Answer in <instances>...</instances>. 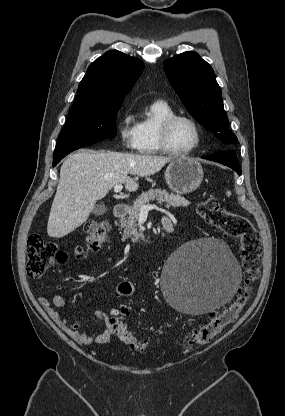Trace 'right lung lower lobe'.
<instances>
[{
  "instance_id": "right-lung-lower-lobe-1",
  "label": "right lung lower lobe",
  "mask_w": 285,
  "mask_h": 416,
  "mask_svg": "<svg viewBox=\"0 0 285 416\" xmlns=\"http://www.w3.org/2000/svg\"><path fill=\"white\" fill-rule=\"evenodd\" d=\"M96 142L98 141H73L57 144L53 155V167L56 166L62 158H64L72 151Z\"/></svg>"
}]
</instances>
